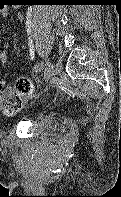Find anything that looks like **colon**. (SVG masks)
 Here are the masks:
<instances>
[{"mask_svg":"<svg viewBox=\"0 0 121 197\" xmlns=\"http://www.w3.org/2000/svg\"><path fill=\"white\" fill-rule=\"evenodd\" d=\"M33 84L27 78L18 79L14 85L0 81V111L7 117L18 114L26 98L32 93Z\"/></svg>","mask_w":121,"mask_h":197,"instance_id":"5ec220e1","label":"colon"}]
</instances>
